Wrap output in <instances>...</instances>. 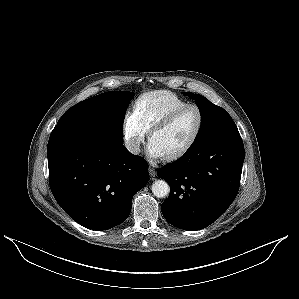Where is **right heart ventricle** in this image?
<instances>
[{
  "label": "right heart ventricle",
  "instance_id": "e07e8e85",
  "mask_svg": "<svg viewBox=\"0 0 299 299\" xmlns=\"http://www.w3.org/2000/svg\"><path fill=\"white\" fill-rule=\"evenodd\" d=\"M187 104L186 100L173 92L158 90L141 95L135 102L134 112L149 130L171 112Z\"/></svg>",
  "mask_w": 299,
  "mask_h": 299
}]
</instances>
